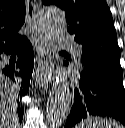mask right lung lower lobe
<instances>
[{"label": "right lung lower lobe", "mask_w": 125, "mask_h": 128, "mask_svg": "<svg viewBox=\"0 0 125 128\" xmlns=\"http://www.w3.org/2000/svg\"><path fill=\"white\" fill-rule=\"evenodd\" d=\"M18 54V61L15 65H8L0 67L3 74L13 80L16 83L17 77L22 78L21 85L18 87L20 98L27 94L29 89L30 78L33 71L34 53L30 41L25 37L17 43L2 48L0 50V60L2 54ZM17 113L19 121L22 122L24 109L20 103H18Z\"/></svg>", "instance_id": "obj_1"}]
</instances>
